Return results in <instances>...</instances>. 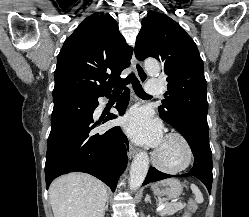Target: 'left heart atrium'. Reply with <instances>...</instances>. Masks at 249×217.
I'll use <instances>...</instances> for the list:
<instances>
[{"label": "left heart atrium", "instance_id": "39dd6f15", "mask_svg": "<svg viewBox=\"0 0 249 217\" xmlns=\"http://www.w3.org/2000/svg\"><path fill=\"white\" fill-rule=\"evenodd\" d=\"M127 134L136 142L159 146L162 142V126L143 109L129 111L122 120Z\"/></svg>", "mask_w": 249, "mask_h": 217}]
</instances>
